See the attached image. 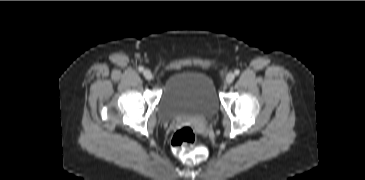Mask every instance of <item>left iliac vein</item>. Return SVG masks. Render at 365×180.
I'll return each instance as SVG.
<instances>
[{
  "mask_svg": "<svg viewBox=\"0 0 365 180\" xmlns=\"http://www.w3.org/2000/svg\"><path fill=\"white\" fill-rule=\"evenodd\" d=\"M234 79H235V74H234V73H232V72H229V73L227 74V76H226V82H227L228 84H231V83L234 81Z\"/></svg>",
  "mask_w": 365,
  "mask_h": 180,
  "instance_id": "left-iliac-vein-1",
  "label": "left iliac vein"
}]
</instances>
